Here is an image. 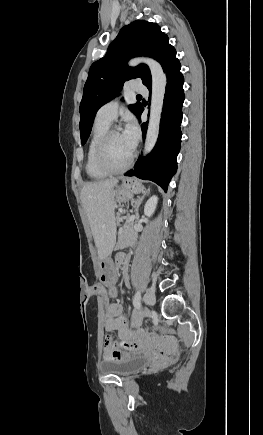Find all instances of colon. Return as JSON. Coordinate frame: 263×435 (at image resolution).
Wrapping results in <instances>:
<instances>
[{
	"label": "colon",
	"instance_id": "colon-1",
	"mask_svg": "<svg viewBox=\"0 0 263 435\" xmlns=\"http://www.w3.org/2000/svg\"><path fill=\"white\" fill-rule=\"evenodd\" d=\"M151 327L153 329H155L157 332H163V334H166V335H173L175 333L173 330H167L162 324H153ZM118 341H120V340H118ZM163 341H165V340L163 339ZM113 343H114V340H113V338H111V336H108V338H104L103 343H102L103 350H112Z\"/></svg>",
	"mask_w": 263,
	"mask_h": 435
}]
</instances>
